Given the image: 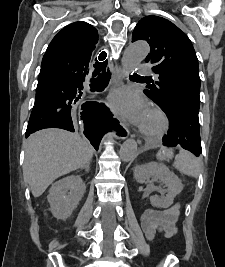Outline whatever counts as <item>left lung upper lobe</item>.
Returning a JSON list of instances; mask_svg holds the SVG:
<instances>
[{
	"instance_id": "obj_1",
	"label": "left lung upper lobe",
	"mask_w": 225,
	"mask_h": 267,
	"mask_svg": "<svg viewBox=\"0 0 225 267\" xmlns=\"http://www.w3.org/2000/svg\"><path fill=\"white\" fill-rule=\"evenodd\" d=\"M146 40L150 53L145 59L159 75L156 84L148 85L144 93L165 113L172 99L180 92L193 89L200 92L198 59L187 35L169 20L146 16L136 25L132 42Z\"/></svg>"
}]
</instances>
